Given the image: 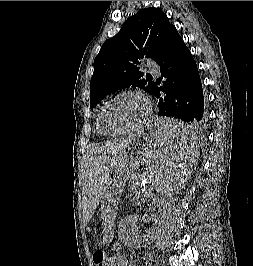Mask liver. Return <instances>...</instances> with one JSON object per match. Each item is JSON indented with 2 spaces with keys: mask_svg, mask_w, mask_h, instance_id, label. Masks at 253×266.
Instances as JSON below:
<instances>
[{
  "mask_svg": "<svg viewBox=\"0 0 253 266\" xmlns=\"http://www.w3.org/2000/svg\"><path fill=\"white\" fill-rule=\"evenodd\" d=\"M134 136L112 141L90 149L85 161V201L89 220L96 209L102 192L105 190V175L115 157L133 141Z\"/></svg>",
  "mask_w": 253,
  "mask_h": 266,
  "instance_id": "liver-1",
  "label": "liver"
}]
</instances>
